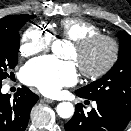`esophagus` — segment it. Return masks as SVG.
<instances>
[{
	"label": "esophagus",
	"instance_id": "esophagus-1",
	"mask_svg": "<svg viewBox=\"0 0 131 131\" xmlns=\"http://www.w3.org/2000/svg\"><path fill=\"white\" fill-rule=\"evenodd\" d=\"M43 101L46 103H53L54 102V100L50 99V98H44Z\"/></svg>",
	"mask_w": 131,
	"mask_h": 131
}]
</instances>
